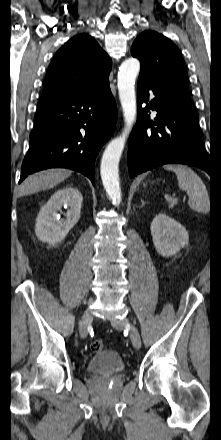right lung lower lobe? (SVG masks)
<instances>
[{
  "mask_svg": "<svg viewBox=\"0 0 221 440\" xmlns=\"http://www.w3.org/2000/svg\"><path fill=\"white\" fill-rule=\"evenodd\" d=\"M116 118L109 86L97 93L40 101L19 183L34 172L63 167L81 172L94 185L95 158L112 135Z\"/></svg>",
  "mask_w": 221,
  "mask_h": 440,
  "instance_id": "1",
  "label": "right lung lower lobe"
}]
</instances>
